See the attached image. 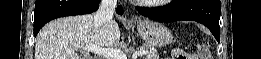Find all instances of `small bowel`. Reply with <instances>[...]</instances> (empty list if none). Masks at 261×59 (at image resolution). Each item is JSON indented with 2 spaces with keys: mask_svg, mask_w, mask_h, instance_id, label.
Returning a JSON list of instances; mask_svg holds the SVG:
<instances>
[{
  "mask_svg": "<svg viewBox=\"0 0 261 59\" xmlns=\"http://www.w3.org/2000/svg\"><path fill=\"white\" fill-rule=\"evenodd\" d=\"M191 57V59H194L195 57H193V56H190ZM172 58H173V54H172Z\"/></svg>",
  "mask_w": 261,
  "mask_h": 59,
  "instance_id": "small-bowel-1",
  "label": "small bowel"
}]
</instances>
